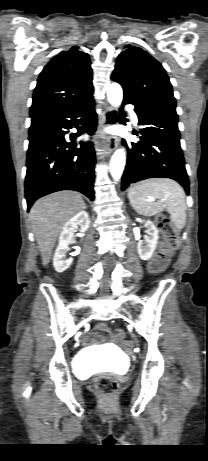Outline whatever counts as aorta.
I'll return each instance as SVG.
<instances>
[{
    "mask_svg": "<svg viewBox=\"0 0 208 461\" xmlns=\"http://www.w3.org/2000/svg\"><path fill=\"white\" fill-rule=\"evenodd\" d=\"M107 97L109 103L113 107L120 106L122 99H123V90L122 87L118 83H112L109 85L107 89ZM125 152L123 149H117L114 154L112 155L110 161V173L112 178L115 181H119L124 170L125 166Z\"/></svg>",
    "mask_w": 208,
    "mask_h": 461,
    "instance_id": "aorta-1",
    "label": "aorta"
}]
</instances>
